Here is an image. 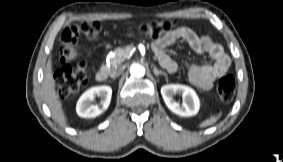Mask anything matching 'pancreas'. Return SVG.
Segmentation results:
<instances>
[{
    "label": "pancreas",
    "instance_id": "1",
    "mask_svg": "<svg viewBox=\"0 0 283 162\" xmlns=\"http://www.w3.org/2000/svg\"><path fill=\"white\" fill-rule=\"evenodd\" d=\"M113 56L110 57L111 69H117L121 63L128 57L129 51L125 48H117L113 52Z\"/></svg>",
    "mask_w": 283,
    "mask_h": 162
}]
</instances>
